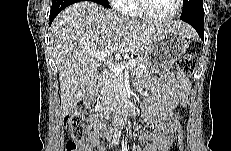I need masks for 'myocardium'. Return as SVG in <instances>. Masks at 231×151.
Listing matches in <instances>:
<instances>
[{"label": "myocardium", "mask_w": 231, "mask_h": 151, "mask_svg": "<svg viewBox=\"0 0 231 151\" xmlns=\"http://www.w3.org/2000/svg\"><path fill=\"white\" fill-rule=\"evenodd\" d=\"M175 4H176L175 11L171 15L166 16V17H155V16L150 15L146 10L145 0H137L136 9L140 17L146 21L153 22V23H167V22L174 20L179 15L182 9L183 1L176 0Z\"/></svg>", "instance_id": "myocardium-1"}]
</instances>
